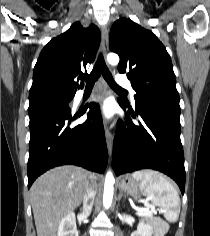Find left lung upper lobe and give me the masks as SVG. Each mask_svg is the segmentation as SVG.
Listing matches in <instances>:
<instances>
[{
    "label": "left lung upper lobe",
    "instance_id": "5c2ea615",
    "mask_svg": "<svg viewBox=\"0 0 210 236\" xmlns=\"http://www.w3.org/2000/svg\"><path fill=\"white\" fill-rule=\"evenodd\" d=\"M110 49L120 56L119 72L128 71L136 103L152 99L179 103L171 58L151 31L122 18L111 28Z\"/></svg>",
    "mask_w": 210,
    "mask_h": 236
}]
</instances>
